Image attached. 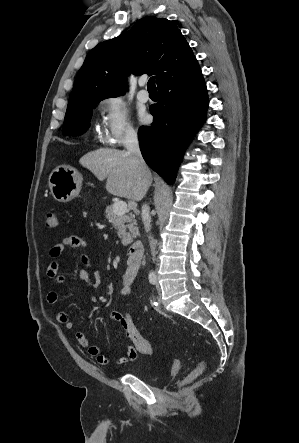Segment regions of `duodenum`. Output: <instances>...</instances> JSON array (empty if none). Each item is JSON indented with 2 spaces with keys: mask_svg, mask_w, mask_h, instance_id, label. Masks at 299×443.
I'll return each mask as SVG.
<instances>
[{
  "mask_svg": "<svg viewBox=\"0 0 299 443\" xmlns=\"http://www.w3.org/2000/svg\"><path fill=\"white\" fill-rule=\"evenodd\" d=\"M143 244L141 241L133 242L128 248V263L139 264L143 257Z\"/></svg>",
  "mask_w": 299,
  "mask_h": 443,
  "instance_id": "duodenum-1",
  "label": "duodenum"
}]
</instances>
